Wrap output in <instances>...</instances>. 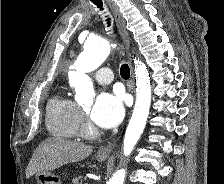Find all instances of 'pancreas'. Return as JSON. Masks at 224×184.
Here are the masks:
<instances>
[{
    "label": "pancreas",
    "instance_id": "pancreas-1",
    "mask_svg": "<svg viewBox=\"0 0 224 184\" xmlns=\"http://www.w3.org/2000/svg\"><path fill=\"white\" fill-rule=\"evenodd\" d=\"M79 181H80V178H74L72 180V184H81Z\"/></svg>",
    "mask_w": 224,
    "mask_h": 184
}]
</instances>
